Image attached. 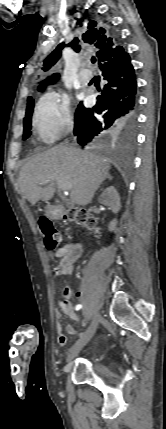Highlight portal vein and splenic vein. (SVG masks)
<instances>
[{"mask_svg": "<svg viewBox=\"0 0 166 429\" xmlns=\"http://www.w3.org/2000/svg\"><path fill=\"white\" fill-rule=\"evenodd\" d=\"M47 181H43L41 184L46 183ZM58 187L63 190H70L71 189V183L69 181H61L57 183Z\"/></svg>", "mask_w": 166, "mask_h": 429, "instance_id": "obj_1", "label": "portal vein and splenic vein"}]
</instances>
